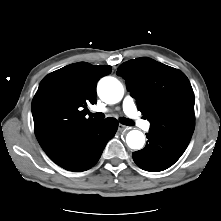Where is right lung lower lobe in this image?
Returning <instances> with one entry per match:
<instances>
[{"instance_id":"98d812e1","label":"right lung lower lobe","mask_w":221,"mask_h":221,"mask_svg":"<svg viewBox=\"0 0 221 221\" xmlns=\"http://www.w3.org/2000/svg\"><path fill=\"white\" fill-rule=\"evenodd\" d=\"M118 121L106 118L79 129L46 153L60 167L75 172L90 169L99 160L107 142L115 135Z\"/></svg>"}]
</instances>
